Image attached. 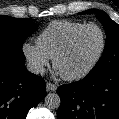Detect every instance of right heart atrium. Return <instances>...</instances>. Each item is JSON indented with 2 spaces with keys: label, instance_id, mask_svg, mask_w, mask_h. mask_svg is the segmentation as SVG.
<instances>
[{
  "label": "right heart atrium",
  "instance_id": "d8ad5b80",
  "mask_svg": "<svg viewBox=\"0 0 119 119\" xmlns=\"http://www.w3.org/2000/svg\"><path fill=\"white\" fill-rule=\"evenodd\" d=\"M22 52L29 63L30 69L37 74L42 73L49 65L50 58L37 44L24 43Z\"/></svg>",
  "mask_w": 119,
  "mask_h": 119
}]
</instances>
